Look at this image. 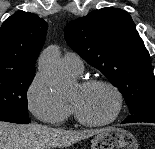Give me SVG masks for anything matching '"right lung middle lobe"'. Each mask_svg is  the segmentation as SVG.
Listing matches in <instances>:
<instances>
[{
  "label": "right lung middle lobe",
  "instance_id": "right-lung-middle-lobe-1",
  "mask_svg": "<svg viewBox=\"0 0 155 149\" xmlns=\"http://www.w3.org/2000/svg\"><path fill=\"white\" fill-rule=\"evenodd\" d=\"M35 72L0 75V121L27 124L26 92L34 79Z\"/></svg>",
  "mask_w": 155,
  "mask_h": 149
}]
</instances>
